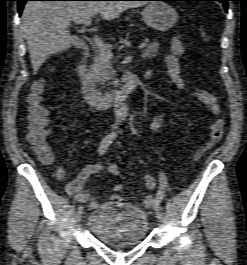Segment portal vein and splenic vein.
Masks as SVG:
<instances>
[{"mask_svg": "<svg viewBox=\"0 0 247 265\" xmlns=\"http://www.w3.org/2000/svg\"><path fill=\"white\" fill-rule=\"evenodd\" d=\"M74 22L76 24H83L85 27H89L91 25V18H87L84 20H76ZM93 42L102 54H105L106 57L108 58L113 57L111 50L99 38L94 37ZM145 47H146V43H142L140 44L139 49H144Z\"/></svg>", "mask_w": 247, "mask_h": 265, "instance_id": "18ae733b", "label": "portal vein and splenic vein"}]
</instances>
